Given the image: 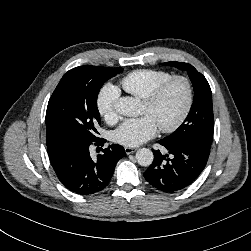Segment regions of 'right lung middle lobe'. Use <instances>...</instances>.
I'll use <instances>...</instances> for the list:
<instances>
[{
	"label": "right lung middle lobe",
	"mask_w": 251,
	"mask_h": 251,
	"mask_svg": "<svg viewBox=\"0 0 251 251\" xmlns=\"http://www.w3.org/2000/svg\"><path fill=\"white\" fill-rule=\"evenodd\" d=\"M123 68L80 66L69 70L54 90L46 111V141L99 139L97 97L101 86Z\"/></svg>",
	"instance_id": "1"
}]
</instances>
